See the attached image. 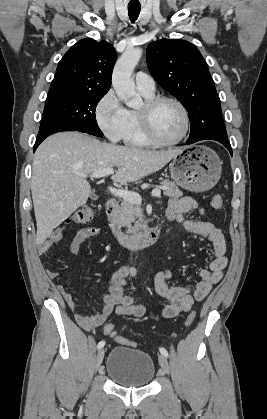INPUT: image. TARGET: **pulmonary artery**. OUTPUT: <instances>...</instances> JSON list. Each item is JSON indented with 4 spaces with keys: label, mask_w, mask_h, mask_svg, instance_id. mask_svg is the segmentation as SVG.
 <instances>
[{
    "label": "pulmonary artery",
    "mask_w": 267,
    "mask_h": 419,
    "mask_svg": "<svg viewBox=\"0 0 267 419\" xmlns=\"http://www.w3.org/2000/svg\"><path fill=\"white\" fill-rule=\"evenodd\" d=\"M136 87L140 92L153 94L155 92L154 79L145 72H137L135 75Z\"/></svg>",
    "instance_id": "obj_1"
}]
</instances>
